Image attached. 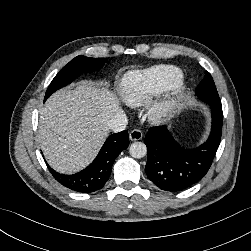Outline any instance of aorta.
Listing matches in <instances>:
<instances>
[{
  "instance_id": "aorta-1",
  "label": "aorta",
  "mask_w": 251,
  "mask_h": 251,
  "mask_svg": "<svg viewBox=\"0 0 251 251\" xmlns=\"http://www.w3.org/2000/svg\"><path fill=\"white\" fill-rule=\"evenodd\" d=\"M129 151L132 157L140 159L147 154V147L142 142H134L130 145Z\"/></svg>"
}]
</instances>
